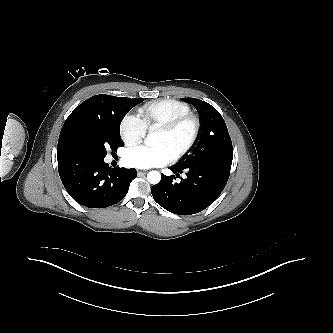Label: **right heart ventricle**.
<instances>
[{"label": "right heart ventricle", "mask_w": 333, "mask_h": 333, "mask_svg": "<svg viewBox=\"0 0 333 333\" xmlns=\"http://www.w3.org/2000/svg\"><path fill=\"white\" fill-rule=\"evenodd\" d=\"M190 111V106L183 101L160 99L147 102L138 113L146 129L153 130Z\"/></svg>", "instance_id": "obj_1"}]
</instances>
